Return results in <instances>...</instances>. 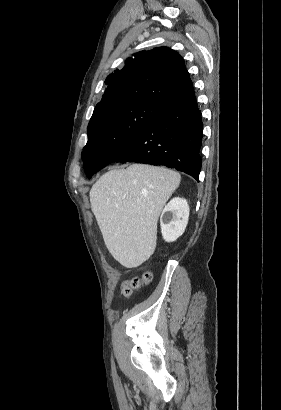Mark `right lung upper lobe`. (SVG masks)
I'll use <instances>...</instances> for the list:
<instances>
[{"mask_svg": "<svg viewBox=\"0 0 281 410\" xmlns=\"http://www.w3.org/2000/svg\"><path fill=\"white\" fill-rule=\"evenodd\" d=\"M111 73L94 113L107 107L144 103L159 108L194 92L183 58L168 47L140 51Z\"/></svg>", "mask_w": 281, "mask_h": 410, "instance_id": "cb5924a9", "label": "right lung upper lobe"}]
</instances>
